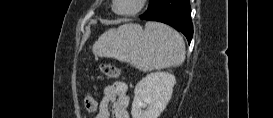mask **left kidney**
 <instances>
[{
  "label": "left kidney",
  "mask_w": 273,
  "mask_h": 118,
  "mask_svg": "<svg viewBox=\"0 0 273 118\" xmlns=\"http://www.w3.org/2000/svg\"><path fill=\"white\" fill-rule=\"evenodd\" d=\"M175 76L168 72H154L139 81L134 90L132 118H158L169 103Z\"/></svg>",
  "instance_id": "left-kidney-1"
}]
</instances>
